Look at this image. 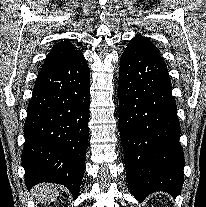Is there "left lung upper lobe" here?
Segmentation results:
<instances>
[{"label": "left lung upper lobe", "mask_w": 206, "mask_h": 207, "mask_svg": "<svg viewBox=\"0 0 206 207\" xmlns=\"http://www.w3.org/2000/svg\"><path fill=\"white\" fill-rule=\"evenodd\" d=\"M128 45H133L142 48L145 51L160 55L159 50L146 37L136 36Z\"/></svg>", "instance_id": "1"}]
</instances>
